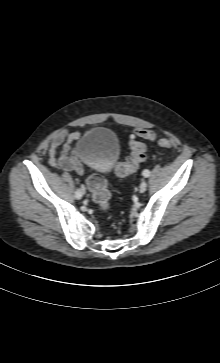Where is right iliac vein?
I'll return each instance as SVG.
<instances>
[{
  "label": "right iliac vein",
  "mask_w": 220,
  "mask_h": 363,
  "mask_svg": "<svg viewBox=\"0 0 220 363\" xmlns=\"http://www.w3.org/2000/svg\"><path fill=\"white\" fill-rule=\"evenodd\" d=\"M81 193L84 194L85 193V188L82 186L81 188Z\"/></svg>",
  "instance_id": "63e3f726"
}]
</instances>
